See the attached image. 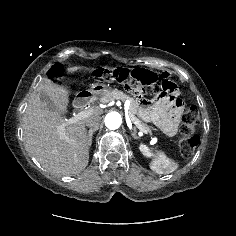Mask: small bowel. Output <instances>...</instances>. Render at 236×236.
<instances>
[{
  "label": "small bowel",
  "instance_id": "small-bowel-1",
  "mask_svg": "<svg viewBox=\"0 0 236 236\" xmlns=\"http://www.w3.org/2000/svg\"><path fill=\"white\" fill-rule=\"evenodd\" d=\"M148 73L157 76L154 73ZM169 77L167 73L161 75L162 81L171 83ZM141 105V114L144 119L154 123L168 136H173L177 132L182 107L176 100H171L167 95L162 94L156 101H143Z\"/></svg>",
  "mask_w": 236,
  "mask_h": 236
}]
</instances>
